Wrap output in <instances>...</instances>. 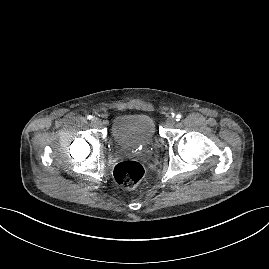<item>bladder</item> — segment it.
I'll return each mask as SVG.
<instances>
[{
  "label": "bladder",
  "mask_w": 269,
  "mask_h": 269,
  "mask_svg": "<svg viewBox=\"0 0 269 269\" xmlns=\"http://www.w3.org/2000/svg\"><path fill=\"white\" fill-rule=\"evenodd\" d=\"M110 135L119 147L145 148L156 139V124L150 115L144 113L122 114L114 118Z\"/></svg>",
  "instance_id": "31cf9c89"
}]
</instances>
